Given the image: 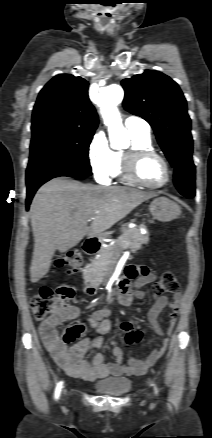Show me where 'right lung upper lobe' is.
<instances>
[{"mask_svg": "<svg viewBox=\"0 0 212 438\" xmlns=\"http://www.w3.org/2000/svg\"><path fill=\"white\" fill-rule=\"evenodd\" d=\"M98 115L88 98V82L60 74L40 91L32 114V131L58 128L94 132Z\"/></svg>", "mask_w": 212, "mask_h": 438, "instance_id": "1", "label": "right lung upper lobe"}]
</instances>
